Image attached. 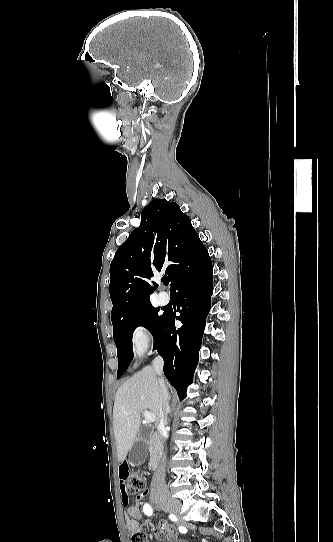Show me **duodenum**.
I'll list each match as a JSON object with an SVG mask.
<instances>
[{
    "label": "duodenum",
    "mask_w": 333,
    "mask_h": 542,
    "mask_svg": "<svg viewBox=\"0 0 333 542\" xmlns=\"http://www.w3.org/2000/svg\"><path fill=\"white\" fill-rule=\"evenodd\" d=\"M150 460L149 467L152 471L157 470L159 463L162 459L164 447L160 439L156 436H152L150 439Z\"/></svg>",
    "instance_id": "410a0bca"
}]
</instances>
